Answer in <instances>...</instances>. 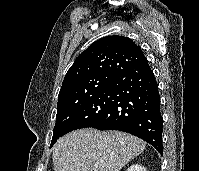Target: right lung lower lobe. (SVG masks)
Listing matches in <instances>:
<instances>
[{
  "label": "right lung lower lobe",
  "instance_id": "right-lung-lower-lobe-1",
  "mask_svg": "<svg viewBox=\"0 0 199 171\" xmlns=\"http://www.w3.org/2000/svg\"><path fill=\"white\" fill-rule=\"evenodd\" d=\"M87 127L128 132L163 154L158 84L147 59L115 75L79 109L62 136Z\"/></svg>",
  "mask_w": 199,
  "mask_h": 171
}]
</instances>
